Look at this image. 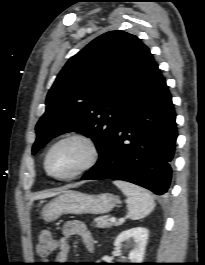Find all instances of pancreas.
<instances>
[{
    "instance_id": "1",
    "label": "pancreas",
    "mask_w": 205,
    "mask_h": 265,
    "mask_svg": "<svg viewBox=\"0 0 205 265\" xmlns=\"http://www.w3.org/2000/svg\"><path fill=\"white\" fill-rule=\"evenodd\" d=\"M94 223L98 228L111 227L112 223L108 216H100L94 219Z\"/></svg>"
}]
</instances>
